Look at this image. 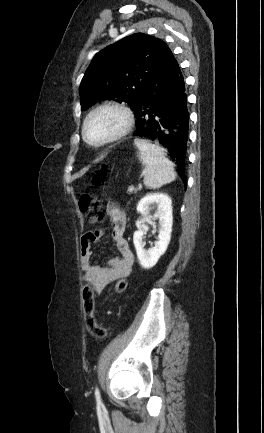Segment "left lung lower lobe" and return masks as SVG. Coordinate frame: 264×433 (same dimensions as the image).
<instances>
[{
    "instance_id": "obj_1",
    "label": "left lung lower lobe",
    "mask_w": 264,
    "mask_h": 433,
    "mask_svg": "<svg viewBox=\"0 0 264 433\" xmlns=\"http://www.w3.org/2000/svg\"><path fill=\"white\" fill-rule=\"evenodd\" d=\"M133 110L137 117L133 135L155 140L167 148L186 184L189 112L184 77L173 54L139 95Z\"/></svg>"
}]
</instances>
